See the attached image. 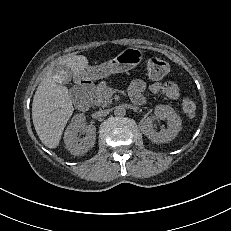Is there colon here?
Returning <instances> with one entry per match:
<instances>
[{
	"mask_svg": "<svg viewBox=\"0 0 231 231\" xmlns=\"http://www.w3.org/2000/svg\"><path fill=\"white\" fill-rule=\"evenodd\" d=\"M145 70L149 78L159 80L165 77L169 72V65L162 59L150 57L145 61ZM184 114L188 117H194L197 112V104L190 98H184L181 103Z\"/></svg>",
	"mask_w": 231,
	"mask_h": 231,
	"instance_id": "colon-1",
	"label": "colon"
}]
</instances>
